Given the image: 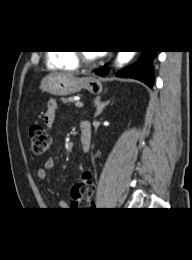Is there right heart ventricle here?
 I'll return each instance as SVG.
<instances>
[{
  "instance_id": "right-heart-ventricle-1",
  "label": "right heart ventricle",
  "mask_w": 192,
  "mask_h": 260,
  "mask_svg": "<svg viewBox=\"0 0 192 260\" xmlns=\"http://www.w3.org/2000/svg\"><path fill=\"white\" fill-rule=\"evenodd\" d=\"M48 65L55 69L73 71L79 67L72 51H59L48 55Z\"/></svg>"
}]
</instances>
